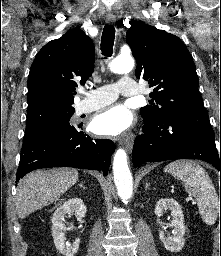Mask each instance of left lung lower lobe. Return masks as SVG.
<instances>
[{
    "instance_id": "0a47b994",
    "label": "left lung lower lobe",
    "mask_w": 221,
    "mask_h": 256,
    "mask_svg": "<svg viewBox=\"0 0 221 256\" xmlns=\"http://www.w3.org/2000/svg\"><path fill=\"white\" fill-rule=\"evenodd\" d=\"M200 159L221 173V150L206 114L173 113L161 122L144 120L142 134L135 139L133 164L173 159Z\"/></svg>"
}]
</instances>
